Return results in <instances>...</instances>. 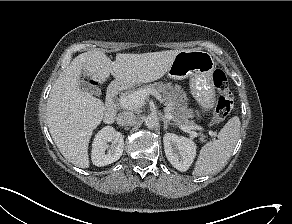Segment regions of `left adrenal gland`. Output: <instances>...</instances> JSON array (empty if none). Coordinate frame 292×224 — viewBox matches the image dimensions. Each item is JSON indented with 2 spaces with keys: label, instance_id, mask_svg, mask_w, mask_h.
<instances>
[{
  "label": "left adrenal gland",
  "instance_id": "1",
  "mask_svg": "<svg viewBox=\"0 0 292 224\" xmlns=\"http://www.w3.org/2000/svg\"><path fill=\"white\" fill-rule=\"evenodd\" d=\"M162 121L164 123V129L167 130L168 125H173L169 120H167L166 118H162Z\"/></svg>",
  "mask_w": 292,
  "mask_h": 224
}]
</instances>
